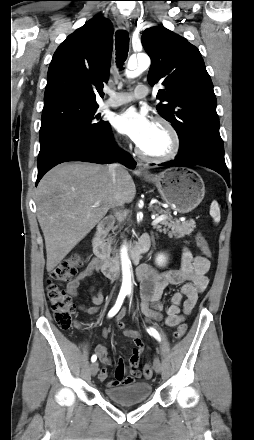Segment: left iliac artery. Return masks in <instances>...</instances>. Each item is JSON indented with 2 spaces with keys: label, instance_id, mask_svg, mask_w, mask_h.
I'll use <instances>...</instances> for the list:
<instances>
[{
  "label": "left iliac artery",
  "instance_id": "left-iliac-artery-1",
  "mask_svg": "<svg viewBox=\"0 0 254 440\" xmlns=\"http://www.w3.org/2000/svg\"><path fill=\"white\" fill-rule=\"evenodd\" d=\"M129 295H130V293H129ZM147 332H148L151 336H153L154 338L160 340L159 333L156 331V329L150 327V328H147Z\"/></svg>",
  "mask_w": 254,
  "mask_h": 440
}]
</instances>
